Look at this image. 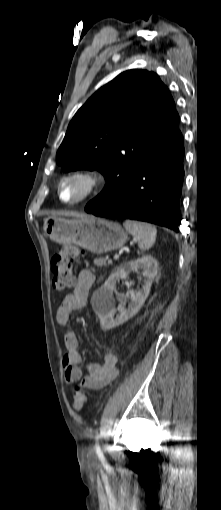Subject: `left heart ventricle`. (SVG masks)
<instances>
[{
  "instance_id": "b2bd125f",
  "label": "left heart ventricle",
  "mask_w": 221,
  "mask_h": 510,
  "mask_svg": "<svg viewBox=\"0 0 221 510\" xmlns=\"http://www.w3.org/2000/svg\"><path fill=\"white\" fill-rule=\"evenodd\" d=\"M84 191V184L79 180H73L66 183L62 190V197L71 201L78 198Z\"/></svg>"
}]
</instances>
